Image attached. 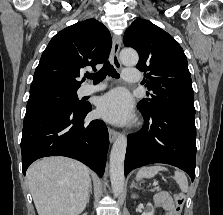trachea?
<instances>
[{
  "instance_id": "obj_1",
  "label": "trachea",
  "mask_w": 223,
  "mask_h": 215,
  "mask_svg": "<svg viewBox=\"0 0 223 215\" xmlns=\"http://www.w3.org/2000/svg\"><path fill=\"white\" fill-rule=\"evenodd\" d=\"M107 75H109L110 77L119 78V74L117 73V71L115 70L113 65H111V63L109 61H107L103 65V68H101V70H99V72L91 73V74L87 75L86 78H91L92 80H94V83H99L102 80H104V78Z\"/></svg>"
}]
</instances>
